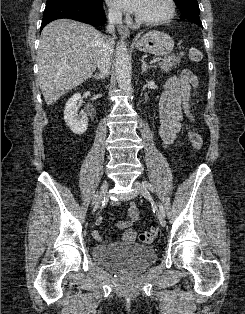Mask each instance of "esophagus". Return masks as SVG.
<instances>
[{
    "instance_id": "obj_1",
    "label": "esophagus",
    "mask_w": 245,
    "mask_h": 314,
    "mask_svg": "<svg viewBox=\"0 0 245 314\" xmlns=\"http://www.w3.org/2000/svg\"><path fill=\"white\" fill-rule=\"evenodd\" d=\"M117 30L125 38H129L130 37V31H129V29L126 26L118 25L117 26Z\"/></svg>"
}]
</instances>
